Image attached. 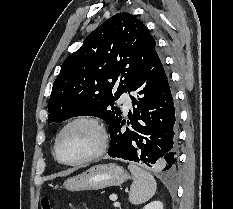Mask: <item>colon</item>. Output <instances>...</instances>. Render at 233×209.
I'll return each instance as SVG.
<instances>
[{"label":"colon","instance_id":"colon-1","mask_svg":"<svg viewBox=\"0 0 233 209\" xmlns=\"http://www.w3.org/2000/svg\"><path fill=\"white\" fill-rule=\"evenodd\" d=\"M41 207L42 209H52V204L49 197L44 196L41 198Z\"/></svg>","mask_w":233,"mask_h":209}]
</instances>
